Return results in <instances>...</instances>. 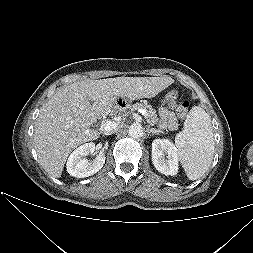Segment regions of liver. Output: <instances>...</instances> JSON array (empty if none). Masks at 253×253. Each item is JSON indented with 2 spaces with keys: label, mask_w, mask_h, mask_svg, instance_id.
<instances>
[{
  "label": "liver",
  "mask_w": 253,
  "mask_h": 253,
  "mask_svg": "<svg viewBox=\"0 0 253 253\" xmlns=\"http://www.w3.org/2000/svg\"><path fill=\"white\" fill-rule=\"evenodd\" d=\"M173 83L170 77H117L59 88L36 120L34 146L40 164L59 178L71 151L99 138L100 132L90 126L111 113L117 98H152Z\"/></svg>",
  "instance_id": "6515ba94"
}]
</instances>
